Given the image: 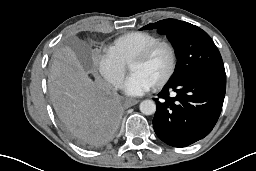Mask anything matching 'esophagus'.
Instances as JSON below:
<instances>
[{"label":"esophagus","mask_w":256,"mask_h":171,"mask_svg":"<svg viewBox=\"0 0 256 171\" xmlns=\"http://www.w3.org/2000/svg\"><path fill=\"white\" fill-rule=\"evenodd\" d=\"M138 103H139V100H137V99H126L125 102H124V105L126 107H132V106H134Z\"/></svg>","instance_id":"1"}]
</instances>
